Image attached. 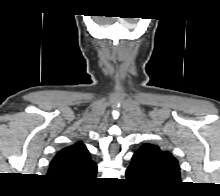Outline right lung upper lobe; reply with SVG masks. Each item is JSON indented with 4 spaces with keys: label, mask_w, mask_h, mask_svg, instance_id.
I'll use <instances>...</instances> for the list:
<instances>
[{
    "label": "right lung upper lobe",
    "mask_w": 220,
    "mask_h": 196,
    "mask_svg": "<svg viewBox=\"0 0 220 196\" xmlns=\"http://www.w3.org/2000/svg\"><path fill=\"white\" fill-rule=\"evenodd\" d=\"M97 166L81 142L59 151L53 158L48 177L70 184H81L96 175Z\"/></svg>",
    "instance_id": "right-lung-upper-lobe-1"
}]
</instances>
